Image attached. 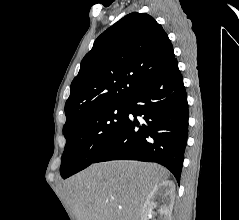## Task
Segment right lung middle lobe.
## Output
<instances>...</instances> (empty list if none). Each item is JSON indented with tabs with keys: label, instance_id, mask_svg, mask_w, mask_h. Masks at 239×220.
I'll return each instance as SVG.
<instances>
[{
	"label": "right lung middle lobe",
	"instance_id": "dd1d6c3e",
	"mask_svg": "<svg viewBox=\"0 0 239 220\" xmlns=\"http://www.w3.org/2000/svg\"><path fill=\"white\" fill-rule=\"evenodd\" d=\"M126 116L125 103L115 104L92 111L63 129L66 145L60 166L62 178L94 163L119 131Z\"/></svg>",
	"mask_w": 239,
	"mask_h": 220
}]
</instances>
